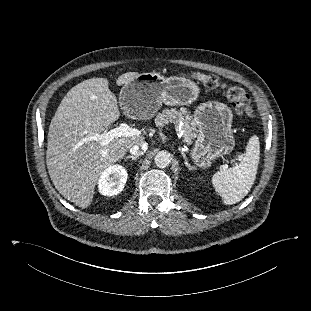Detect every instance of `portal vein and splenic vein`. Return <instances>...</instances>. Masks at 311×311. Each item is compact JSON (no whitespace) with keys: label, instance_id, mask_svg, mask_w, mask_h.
<instances>
[{"label":"portal vein and splenic vein","instance_id":"portal-vein-and-splenic-vein-1","mask_svg":"<svg viewBox=\"0 0 311 311\" xmlns=\"http://www.w3.org/2000/svg\"><path fill=\"white\" fill-rule=\"evenodd\" d=\"M139 134H140L139 130L128 126L126 123H121L119 127H116L102 134H96L92 136V139L101 141V145L105 146L110 141H112L114 138H119V137H124V136L130 137V136H135ZM181 134H182V131H181ZM227 167H228L227 164L223 165L224 169H226Z\"/></svg>","mask_w":311,"mask_h":311}]
</instances>
